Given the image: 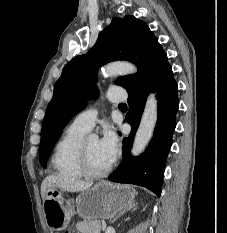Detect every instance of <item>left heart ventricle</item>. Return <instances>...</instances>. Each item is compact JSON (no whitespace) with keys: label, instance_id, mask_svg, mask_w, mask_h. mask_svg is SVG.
<instances>
[{"label":"left heart ventricle","instance_id":"left-heart-ventricle-1","mask_svg":"<svg viewBox=\"0 0 227 233\" xmlns=\"http://www.w3.org/2000/svg\"><path fill=\"white\" fill-rule=\"evenodd\" d=\"M86 146L90 164L94 169L102 170L111 163V161L100 150L98 140H87Z\"/></svg>","mask_w":227,"mask_h":233}]
</instances>
